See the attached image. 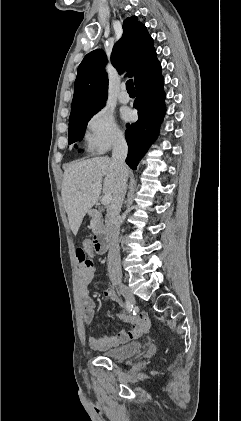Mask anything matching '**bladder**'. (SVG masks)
Masks as SVG:
<instances>
[{
    "mask_svg": "<svg viewBox=\"0 0 241 421\" xmlns=\"http://www.w3.org/2000/svg\"><path fill=\"white\" fill-rule=\"evenodd\" d=\"M142 348L143 345L141 342H132L123 346L108 349L102 353V356L114 361H123L140 353Z\"/></svg>",
    "mask_w": 241,
    "mask_h": 421,
    "instance_id": "obj_1",
    "label": "bladder"
}]
</instances>
